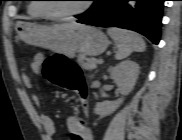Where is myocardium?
I'll return each mask as SVG.
<instances>
[{"instance_id":"f54148a6","label":"myocardium","mask_w":182,"mask_h":140,"mask_svg":"<svg viewBox=\"0 0 182 140\" xmlns=\"http://www.w3.org/2000/svg\"><path fill=\"white\" fill-rule=\"evenodd\" d=\"M45 1V0H42ZM90 8V3L86 2L80 9L72 12H67V13H57L53 12L48 8V5L45 4H40L39 5V10L43 14V16H46L51 19H68V18H73L76 16H79Z\"/></svg>"}]
</instances>
